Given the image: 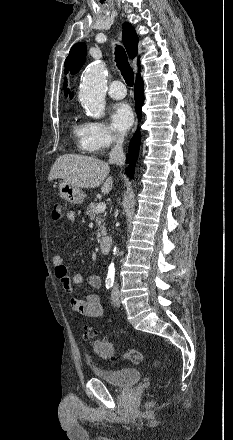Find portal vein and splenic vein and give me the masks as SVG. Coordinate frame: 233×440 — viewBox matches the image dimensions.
<instances>
[{
    "instance_id": "obj_1",
    "label": "portal vein and splenic vein",
    "mask_w": 233,
    "mask_h": 440,
    "mask_svg": "<svg viewBox=\"0 0 233 440\" xmlns=\"http://www.w3.org/2000/svg\"><path fill=\"white\" fill-rule=\"evenodd\" d=\"M106 209V204L105 202H100L97 205V212H103Z\"/></svg>"
}]
</instances>
